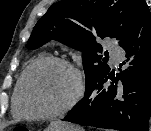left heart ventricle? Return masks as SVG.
Segmentation results:
<instances>
[{"mask_svg":"<svg viewBox=\"0 0 151 131\" xmlns=\"http://www.w3.org/2000/svg\"><path fill=\"white\" fill-rule=\"evenodd\" d=\"M71 72L58 64H47L33 71L27 82L24 105L33 112H51L60 108L74 89Z\"/></svg>","mask_w":151,"mask_h":131,"instance_id":"left-heart-ventricle-1","label":"left heart ventricle"}]
</instances>
